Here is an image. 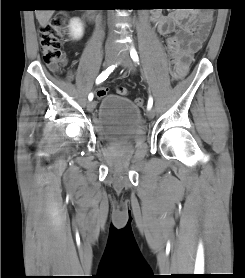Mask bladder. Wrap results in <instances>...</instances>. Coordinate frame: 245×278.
Returning <instances> with one entry per match:
<instances>
[{
	"mask_svg": "<svg viewBox=\"0 0 245 278\" xmlns=\"http://www.w3.org/2000/svg\"><path fill=\"white\" fill-rule=\"evenodd\" d=\"M100 141L137 143L145 137L141 111L130 99L116 94L105 95L94 123Z\"/></svg>",
	"mask_w": 245,
	"mask_h": 278,
	"instance_id": "bladder-1",
	"label": "bladder"
}]
</instances>
